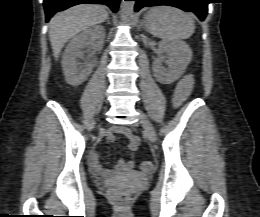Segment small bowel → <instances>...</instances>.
Listing matches in <instances>:
<instances>
[{
    "instance_id": "c3829d8e",
    "label": "small bowel",
    "mask_w": 260,
    "mask_h": 217,
    "mask_svg": "<svg viewBox=\"0 0 260 217\" xmlns=\"http://www.w3.org/2000/svg\"><path fill=\"white\" fill-rule=\"evenodd\" d=\"M193 86V77L191 74L184 75L176 86V92L174 101L176 105H179L191 92ZM114 133H119L127 136L129 138V151L131 152V157L129 159H120L113 171L107 170L100 166L99 164V156L98 153L92 152L89 156V162L93 171L96 173L98 177L101 178H109L113 173L122 174V173H130L134 171L136 162L132 157L133 153L139 148L140 141L139 138L132 134L130 129L126 127H117L113 129V133L109 135L108 139L110 141L115 140Z\"/></svg>"
}]
</instances>
